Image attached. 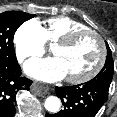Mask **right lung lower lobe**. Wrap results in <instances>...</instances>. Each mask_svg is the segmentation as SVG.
<instances>
[{
  "mask_svg": "<svg viewBox=\"0 0 117 117\" xmlns=\"http://www.w3.org/2000/svg\"><path fill=\"white\" fill-rule=\"evenodd\" d=\"M32 81L21 77L19 64L0 63V117L15 115L16 94L19 90H29Z\"/></svg>",
  "mask_w": 117,
  "mask_h": 117,
  "instance_id": "98d812e1",
  "label": "right lung lower lobe"
}]
</instances>
